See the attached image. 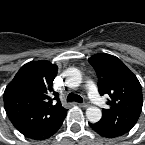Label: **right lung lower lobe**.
Returning <instances> with one entry per match:
<instances>
[{
	"mask_svg": "<svg viewBox=\"0 0 145 145\" xmlns=\"http://www.w3.org/2000/svg\"><path fill=\"white\" fill-rule=\"evenodd\" d=\"M65 116H66V113L54 125H52L50 128H48L44 131H41L39 133H35L33 135H30V136H28V138L33 139V140H44V139H47V138L51 137L61 127Z\"/></svg>",
	"mask_w": 145,
	"mask_h": 145,
	"instance_id": "obj_1",
	"label": "right lung lower lobe"
}]
</instances>
